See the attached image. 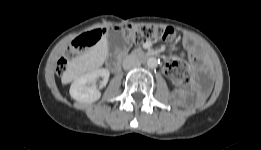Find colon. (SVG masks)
<instances>
[{
    "mask_svg": "<svg viewBox=\"0 0 261 150\" xmlns=\"http://www.w3.org/2000/svg\"><path fill=\"white\" fill-rule=\"evenodd\" d=\"M125 37L134 43H141L147 40L161 39L164 41H174L177 38L175 29L171 27L159 26H131L120 27ZM106 33V29H94L88 31L75 39L68 48L56 67L58 75H63L67 71L70 60L80 55L87 48L95 45ZM166 75L178 86H185L189 81L188 71L180 61H173L165 65Z\"/></svg>",
    "mask_w": 261,
    "mask_h": 150,
    "instance_id": "5ec220e1",
    "label": "colon"
}]
</instances>
